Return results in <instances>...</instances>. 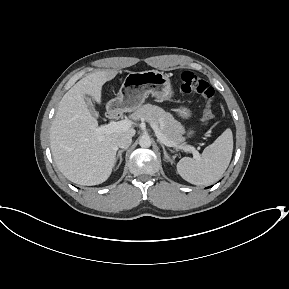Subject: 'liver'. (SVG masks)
I'll return each mask as SVG.
<instances>
[{
  "mask_svg": "<svg viewBox=\"0 0 289 289\" xmlns=\"http://www.w3.org/2000/svg\"><path fill=\"white\" fill-rule=\"evenodd\" d=\"M118 71H97L79 80L61 99L50 129L53 159L61 173L71 182L92 186L105 182L116 162L117 139L131 137L129 128L110 134H98L97 120L90 113L85 95L101 104L102 86Z\"/></svg>",
  "mask_w": 289,
  "mask_h": 289,
  "instance_id": "1",
  "label": "liver"
}]
</instances>
